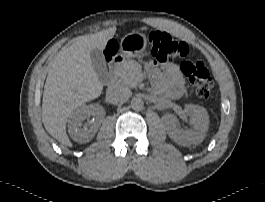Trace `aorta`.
Returning a JSON list of instances; mask_svg holds the SVG:
<instances>
[{"mask_svg": "<svg viewBox=\"0 0 265 202\" xmlns=\"http://www.w3.org/2000/svg\"><path fill=\"white\" fill-rule=\"evenodd\" d=\"M131 107L135 111L142 110L144 107V101L140 97H134L131 100Z\"/></svg>", "mask_w": 265, "mask_h": 202, "instance_id": "obj_1", "label": "aorta"}]
</instances>
